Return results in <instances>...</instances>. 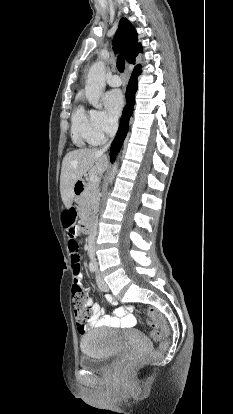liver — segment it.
<instances>
[{
    "label": "liver",
    "mask_w": 233,
    "mask_h": 414,
    "mask_svg": "<svg viewBox=\"0 0 233 414\" xmlns=\"http://www.w3.org/2000/svg\"><path fill=\"white\" fill-rule=\"evenodd\" d=\"M107 155L95 148H85L71 151L62 161L60 176L61 198L70 208L74 199V185L85 173L101 176L108 167Z\"/></svg>",
    "instance_id": "6515ba94"
}]
</instances>
